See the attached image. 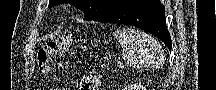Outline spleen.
Returning a JSON list of instances; mask_svg holds the SVG:
<instances>
[{"mask_svg":"<svg viewBox=\"0 0 216 90\" xmlns=\"http://www.w3.org/2000/svg\"><path fill=\"white\" fill-rule=\"evenodd\" d=\"M122 48V56L133 68L158 66L162 54L161 46L153 36L141 30L123 28L115 32Z\"/></svg>","mask_w":216,"mask_h":90,"instance_id":"3e777b00","label":"spleen"}]
</instances>
